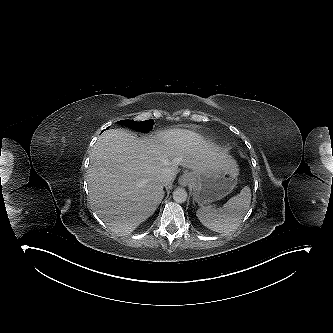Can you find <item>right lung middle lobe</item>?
Segmentation results:
<instances>
[{
	"instance_id": "1",
	"label": "right lung middle lobe",
	"mask_w": 333,
	"mask_h": 333,
	"mask_svg": "<svg viewBox=\"0 0 333 333\" xmlns=\"http://www.w3.org/2000/svg\"><path fill=\"white\" fill-rule=\"evenodd\" d=\"M119 124H122L126 127L141 131V132H148L153 128L154 120H146L141 122H136L133 120H122L117 122Z\"/></svg>"
}]
</instances>
